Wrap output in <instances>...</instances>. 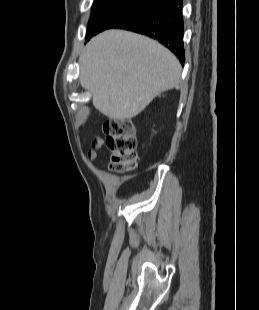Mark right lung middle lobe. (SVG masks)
Returning <instances> with one entry per match:
<instances>
[{"instance_id": "obj_1", "label": "right lung middle lobe", "mask_w": 259, "mask_h": 310, "mask_svg": "<svg viewBox=\"0 0 259 310\" xmlns=\"http://www.w3.org/2000/svg\"><path fill=\"white\" fill-rule=\"evenodd\" d=\"M158 0H109L92 7L86 39L117 27L130 17L154 6Z\"/></svg>"}]
</instances>
